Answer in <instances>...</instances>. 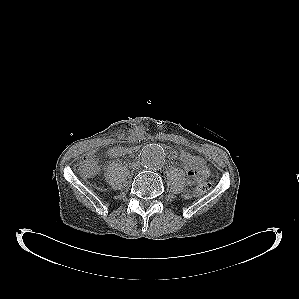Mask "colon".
<instances>
[{"label": "colon", "instance_id": "colon-1", "mask_svg": "<svg viewBox=\"0 0 299 299\" xmlns=\"http://www.w3.org/2000/svg\"><path fill=\"white\" fill-rule=\"evenodd\" d=\"M177 156L185 168L197 166L199 163L198 157L191 152L179 147ZM78 170L84 177H92L97 173L98 166L94 157L90 154L84 155L78 162ZM211 189V184L208 182L199 183L194 190L195 195H203Z\"/></svg>", "mask_w": 299, "mask_h": 299}]
</instances>
